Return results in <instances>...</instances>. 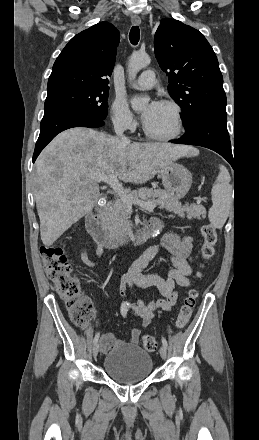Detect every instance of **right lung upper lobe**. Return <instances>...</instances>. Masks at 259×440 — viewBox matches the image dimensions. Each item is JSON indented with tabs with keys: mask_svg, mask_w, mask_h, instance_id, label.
<instances>
[{
	"mask_svg": "<svg viewBox=\"0 0 259 440\" xmlns=\"http://www.w3.org/2000/svg\"><path fill=\"white\" fill-rule=\"evenodd\" d=\"M119 32L100 22L75 35L57 57L48 80V94L71 88L109 90Z\"/></svg>",
	"mask_w": 259,
	"mask_h": 440,
	"instance_id": "cb5924a9",
	"label": "right lung upper lobe"
}]
</instances>
